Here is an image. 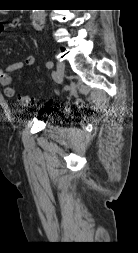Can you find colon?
I'll list each match as a JSON object with an SVG mask.
<instances>
[{"label":"colon","mask_w":138,"mask_h":253,"mask_svg":"<svg viewBox=\"0 0 138 253\" xmlns=\"http://www.w3.org/2000/svg\"><path fill=\"white\" fill-rule=\"evenodd\" d=\"M18 102L23 106H32L34 104V99L30 95L20 94L17 96Z\"/></svg>","instance_id":"5ec220e1"}]
</instances>
